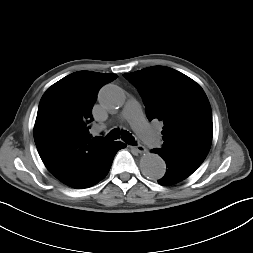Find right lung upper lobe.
Here are the masks:
<instances>
[{
  "mask_svg": "<svg viewBox=\"0 0 253 253\" xmlns=\"http://www.w3.org/2000/svg\"><path fill=\"white\" fill-rule=\"evenodd\" d=\"M116 74L72 73L53 84L39 103L34 140L47 169L61 182L84 188L101 171V154L108 143L90 139L92 108L99 89Z\"/></svg>",
  "mask_w": 253,
  "mask_h": 253,
  "instance_id": "obj_1",
  "label": "right lung upper lobe"
}]
</instances>
